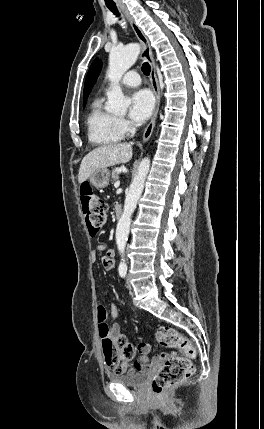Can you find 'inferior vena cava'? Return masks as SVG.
Segmentation results:
<instances>
[{
	"label": "inferior vena cava",
	"mask_w": 264,
	"mask_h": 429,
	"mask_svg": "<svg viewBox=\"0 0 264 429\" xmlns=\"http://www.w3.org/2000/svg\"><path fill=\"white\" fill-rule=\"evenodd\" d=\"M124 253L127 255L129 252L126 250Z\"/></svg>",
	"instance_id": "602c4592"
}]
</instances>
